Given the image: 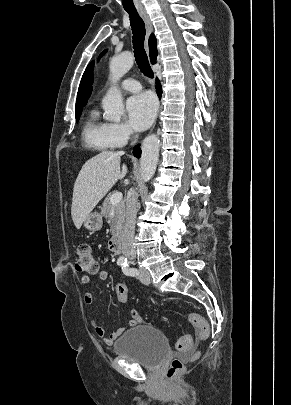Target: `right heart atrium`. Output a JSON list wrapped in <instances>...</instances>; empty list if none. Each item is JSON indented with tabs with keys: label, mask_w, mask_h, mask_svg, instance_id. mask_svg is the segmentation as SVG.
Instances as JSON below:
<instances>
[{
	"label": "right heart atrium",
	"mask_w": 291,
	"mask_h": 405,
	"mask_svg": "<svg viewBox=\"0 0 291 405\" xmlns=\"http://www.w3.org/2000/svg\"><path fill=\"white\" fill-rule=\"evenodd\" d=\"M108 135L114 147H121L130 140L133 132L127 124L109 123Z\"/></svg>",
	"instance_id": "d8ad5b80"
}]
</instances>
